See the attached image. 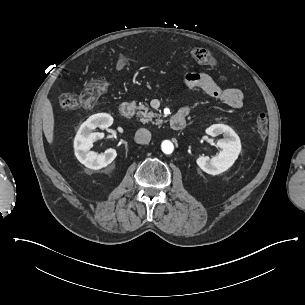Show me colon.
Returning a JSON list of instances; mask_svg holds the SVG:
<instances>
[{
  "instance_id": "colon-1",
  "label": "colon",
  "mask_w": 305,
  "mask_h": 305,
  "mask_svg": "<svg viewBox=\"0 0 305 305\" xmlns=\"http://www.w3.org/2000/svg\"><path fill=\"white\" fill-rule=\"evenodd\" d=\"M192 57L200 64L210 66L216 71H221L223 65L216 60L205 47H196L191 52ZM130 61L128 55H121L116 62V69L125 68ZM108 81L103 76L92 77L85 85L81 96L72 93H63L59 97L60 105L66 109L91 108L98 101L99 97L108 90ZM268 118L264 113H260L256 118L257 137L263 142L267 133Z\"/></svg>"
}]
</instances>
